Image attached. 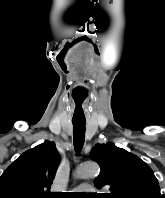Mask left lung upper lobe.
Listing matches in <instances>:
<instances>
[{
    "label": "left lung upper lobe",
    "mask_w": 165,
    "mask_h": 198,
    "mask_svg": "<svg viewBox=\"0 0 165 198\" xmlns=\"http://www.w3.org/2000/svg\"><path fill=\"white\" fill-rule=\"evenodd\" d=\"M91 158L101 167L96 187L110 191L101 198H164L152 169L128 151L112 143L97 144Z\"/></svg>",
    "instance_id": "1"
}]
</instances>
